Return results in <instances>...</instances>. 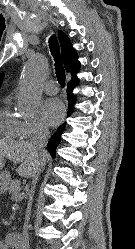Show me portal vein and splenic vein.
<instances>
[{
  "mask_svg": "<svg viewBox=\"0 0 135 249\" xmlns=\"http://www.w3.org/2000/svg\"><path fill=\"white\" fill-rule=\"evenodd\" d=\"M23 198H24V193H21L17 197H15V201L22 200Z\"/></svg>",
  "mask_w": 135,
  "mask_h": 249,
  "instance_id": "portal-vein-and-splenic-vein-1",
  "label": "portal vein and splenic vein"
}]
</instances>
